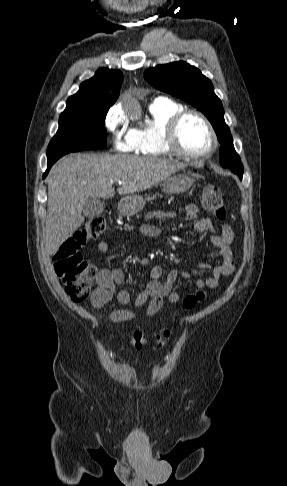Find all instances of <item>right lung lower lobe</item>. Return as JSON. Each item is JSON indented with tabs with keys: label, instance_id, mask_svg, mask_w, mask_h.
<instances>
[{
	"label": "right lung lower lobe",
	"instance_id": "1",
	"mask_svg": "<svg viewBox=\"0 0 287 486\" xmlns=\"http://www.w3.org/2000/svg\"><path fill=\"white\" fill-rule=\"evenodd\" d=\"M53 164H54V163H47V170H46V172L44 173L43 178H45V177H46V175L48 174V172H49V170H50V168H51V166H52Z\"/></svg>",
	"mask_w": 287,
	"mask_h": 486
}]
</instances>
